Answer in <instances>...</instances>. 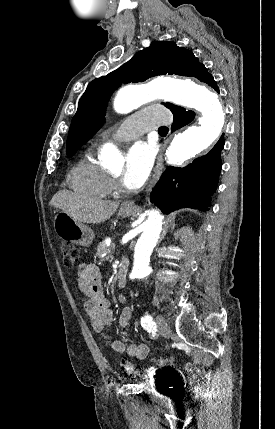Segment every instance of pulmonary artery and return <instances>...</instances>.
<instances>
[{
    "label": "pulmonary artery",
    "mask_w": 275,
    "mask_h": 429,
    "mask_svg": "<svg viewBox=\"0 0 275 429\" xmlns=\"http://www.w3.org/2000/svg\"><path fill=\"white\" fill-rule=\"evenodd\" d=\"M171 122L169 111L163 107H148L132 115L112 134V139L124 142L141 136L148 130L165 126Z\"/></svg>",
    "instance_id": "obj_1"
}]
</instances>
